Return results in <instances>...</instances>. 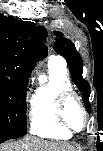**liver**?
<instances>
[{
  "instance_id": "obj_1",
  "label": "liver",
  "mask_w": 103,
  "mask_h": 151,
  "mask_svg": "<svg viewBox=\"0 0 103 151\" xmlns=\"http://www.w3.org/2000/svg\"><path fill=\"white\" fill-rule=\"evenodd\" d=\"M1 151H80L67 143L50 142L33 136H26L21 141L6 144Z\"/></svg>"
}]
</instances>
